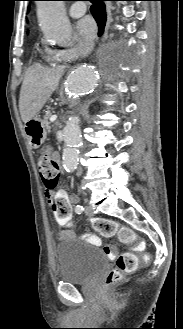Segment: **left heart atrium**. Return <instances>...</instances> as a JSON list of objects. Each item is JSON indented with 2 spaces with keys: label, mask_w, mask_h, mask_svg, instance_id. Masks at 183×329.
<instances>
[{
  "label": "left heart atrium",
  "mask_w": 183,
  "mask_h": 329,
  "mask_svg": "<svg viewBox=\"0 0 183 329\" xmlns=\"http://www.w3.org/2000/svg\"><path fill=\"white\" fill-rule=\"evenodd\" d=\"M78 31L86 40H90L96 33V23L90 17L86 16L78 22Z\"/></svg>",
  "instance_id": "left-heart-atrium-1"
}]
</instances>
